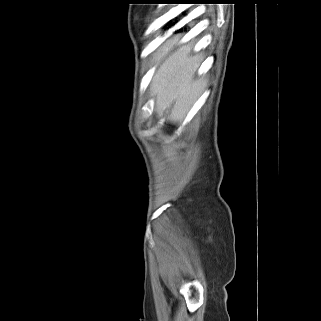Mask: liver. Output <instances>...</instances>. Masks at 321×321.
<instances>
[{
    "mask_svg": "<svg viewBox=\"0 0 321 321\" xmlns=\"http://www.w3.org/2000/svg\"><path fill=\"white\" fill-rule=\"evenodd\" d=\"M179 41L173 37L156 52L151 82L157 114L173 123L183 121L205 87V80L197 76L202 55L193 52L192 42Z\"/></svg>",
    "mask_w": 321,
    "mask_h": 321,
    "instance_id": "liver-1",
    "label": "liver"
}]
</instances>
